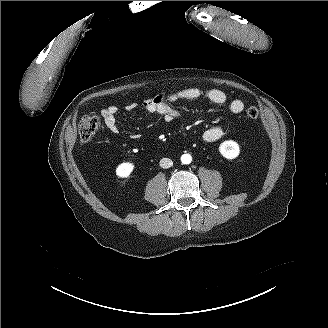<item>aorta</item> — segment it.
<instances>
[{"instance_id": "1", "label": "aorta", "mask_w": 328, "mask_h": 328, "mask_svg": "<svg viewBox=\"0 0 328 328\" xmlns=\"http://www.w3.org/2000/svg\"><path fill=\"white\" fill-rule=\"evenodd\" d=\"M191 161H192V157H191L190 154H183V155L181 156V162H182L183 164H190Z\"/></svg>"}]
</instances>
